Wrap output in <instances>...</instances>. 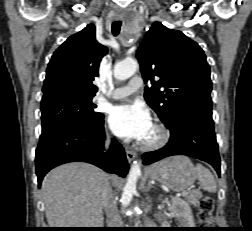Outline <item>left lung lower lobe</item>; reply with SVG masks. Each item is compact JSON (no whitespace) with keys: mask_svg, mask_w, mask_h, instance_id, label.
Masks as SVG:
<instances>
[{"mask_svg":"<svg viewBox=\"0 0 252 231\" xmlns=\"http://www.w3.org/2000/svg\"><path fill=\"white\" fill-rule=\"evenodd\" d=\"M166 126L171 132L169 142L159 150L145 153V165L168 156L187 155L208 162L220 175V157L211 109L200 106L183 108Z\"/></svg>","mask_w":252,"mask_h":231,"instance_id":"0a47b994","label":"left lung lower lobe"}]
</instances>
